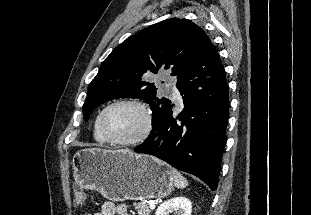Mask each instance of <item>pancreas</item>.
<instances>
[{
	"label": "pancreas",
	"instance_id": "obj_1",
	"mask_svg": "<svg viewBox=\"0 0 311 215\" xmlns=\"http://www.w3.org/2000/svg\"><path fill=\"white\" fill-rule=\"evenodd\" d=\"M135 209L138 215H150L151 209L149 205L145 202L134 203Z\"/></svg>",
	"mask_w": 311,
	"mask_h": 215
}]
</instances>
